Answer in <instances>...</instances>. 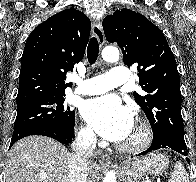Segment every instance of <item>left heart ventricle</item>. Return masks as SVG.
I'll return each mask as SVG.
<instances>
[{
    "instance_id": "1",
    "label": "left heart ventricle",
    "mask_w": 196,
    "mask_h": 182,
    "mask_svg": "<svg viewBox=\"0 0 196 182\" xmlns=\"http://www.w3.org/2000/svg\"><path fill=\"white\" fill-rule=\"evenodd\" d=\"M138 136H139V130L136 123H134L130 134L121 142V144H131L138 139Z\"/></svg>"
}]
</instances>
